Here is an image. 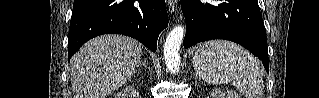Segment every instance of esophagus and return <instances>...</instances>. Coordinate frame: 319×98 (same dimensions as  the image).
Here are the masks:
<instances>
[{
	"instance_id": "esophagus-1",
	"label": "esophagus",
	"mask_w": 319,
	"mask_h": 98,
	"mask_svg": "<svg viewBox=\"0 0 319 98\" xmlns=\"http://www.w3.org/2000/svg\"><path fill=\"white\" fill-rule=\"evenodd\" d=\"M166 2L168 4V6H169V9L173 12L175 10V7H176V1L167 0Z\"/></svg>"
}]
</instances>
